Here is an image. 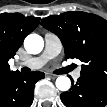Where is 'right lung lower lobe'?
Returning <instances> with one entry per match:
<instances>
[{"label":"right lung lower lobe","mask_w":107,"mask_h":107,"mask_svg":"<svg viewBox=\"0 0 107 107\" xmlns=\"http://www.w3.org/2000/svg\"><path fill=\"white\" fill-rule=\"evenodd\" d=\"M43 72L26 75L11 71L0 75V107H30L34 98V85L44 78Z\"/></svg>","instance_id":"1"}]
</instances>
